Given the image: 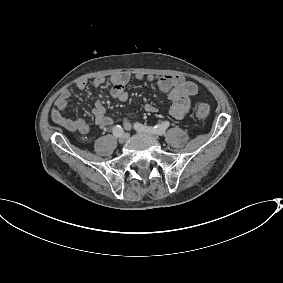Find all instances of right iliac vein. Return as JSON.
<instances>
[{
	"instance_id": "right-iliac-vein-1",
	"label": "right iliac vein",
	"mask_w": 283,
	"mask_h": 283,
	"mask_svg": "<svg viewBox=\"0 0 283 283\" xmlns=\"http://www.w3.org/2000/svg\"><path fill=\"white\" fill-rule=\"evenodd\" d=\"M129 138L128 133H123L120 137H119V143L123 144L125 143Z\"/></svg>"
}]
</instances>
